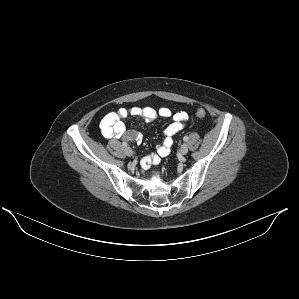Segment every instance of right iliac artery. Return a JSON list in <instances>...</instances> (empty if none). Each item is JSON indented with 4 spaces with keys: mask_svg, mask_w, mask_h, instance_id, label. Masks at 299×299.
<instances>
[{
    "mask_svg": "<svg viewBox=\"0 0 299 299\" xmlns=\"http://www.w3.org/2000/svg\"><path fill=\"white\" fill-rule=\"evenodd\" d=\"M123 147H127L128 144L126 142H122Z\"/></svg>",
    "mask_w": 299,
    "mask_h": 299,
    "instance_id": "right-iliac-artery-1",
    "label": "right iliac artery"
}]
</instances>
